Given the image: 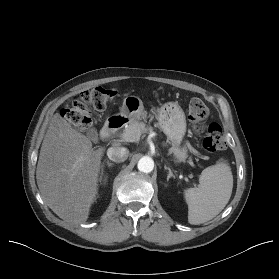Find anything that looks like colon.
<instances>
[{"label": "colon", "instance_id": "5ec220e1", "mask_svg": "<svg viewBox=\"0 0 279 279\" xmlns=\"http://www.w3.org/2000/svg\"><path fill=\"white\" fill-rule=\"evenodd\" d=\"M116 90L102 86L79 93L72 103L61 110V117L66 122L80 130L87 129L91 123L90 109L105 110L113 98ZM209 113L208 107L200 99H192L188 106V117L196 132L206 131L203 147L209 152L222 150L226 147L224 131L220 124L211 123L207 127L203 122Z\"/></svg>", "mask_w": 279, "mask_h": 279}]
</instances>
